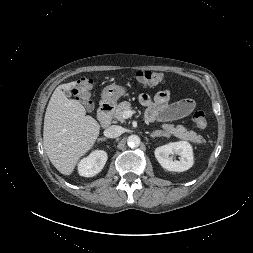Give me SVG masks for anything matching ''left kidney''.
I'll list each match as a JSON object with an SVG mask.
<instances>
[{"label": "left kidney", "instance_id": "left-kidney-1", "mask_svg": "<svg viewBox=\"0 0 253 253\" xmlns=\"http://www.w3.org/2000/svg\"><path fill=\"white\" fill-rule=\"evenodd\" d=\"M179 155L180 160H173L172 155ZM155 157L160 165L175 172H183L193 166V150L191 145L186 141L169 143L156 148Z\"/></svg>", "mask_w": 253, "mask_h": 253}]
</instances>
